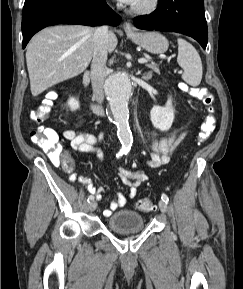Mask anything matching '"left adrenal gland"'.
<instances>
[{"label":"left adrenal gland","mask_w":243,"mask_h":289,"mask_svg":"<svg viewBox=\"0 0 243 289\" xmlns=\"http://www.w3.org/2000/svg\"><path fill=\"white\" fill-rule=\"evenodd\" d=\"M143 78L146 79V80L150 79L151 78V72L145 73L143 75Z\"/></svg>","instance_id":"a2214340"}]
</instances>
